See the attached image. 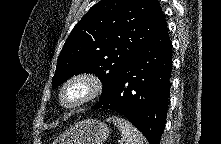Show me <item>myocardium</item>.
I'll return each instance as SVG.
<instances>
[{
    "label": "myocardium",
    "instance_id": "myocardium-1",
    "mask_svg": "<svg viewBox=\"0 0 221 144\" xmlns=\"http://www.w3.org/2000/svg\"><path fill=\"white\" fill-rule=\"evenodd\" d=\"M77 84L85 86L84 94L74 102L68 103L65 101L66 91ZM103 90V82L100 77L93 72H79L69 77L60 87L58 94L59 105L66 110H72L82 107L94 101Z\"/></svg>",
    "mask_w": 221,
    "mask_h": 144
}]
</instances>
